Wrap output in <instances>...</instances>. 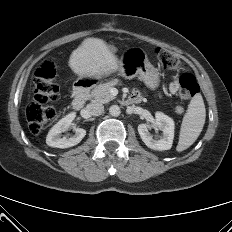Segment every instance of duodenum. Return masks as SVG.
<instances>
[{
    "mask_svg": "<svg viewBox=\"0 0 232 232\" xmlns=\"http://www.w3.org/2000/svg\"><path fill=\"white\" fill-rule=\"evenodd\" d=\"M95 82L78 84L75 88V95L72 102V107L74 110L79 111L84 107L87 93L94 86ZM141 99L133 98L132 95L124 100L126 105L135 104L140 102Z\"/></svg>",
    "mask_w": 232,
    "mask_h": 232,
    "instance_id": "obj_1",
    "label": "duodenum"
}]
</instances>
